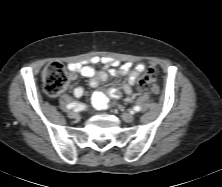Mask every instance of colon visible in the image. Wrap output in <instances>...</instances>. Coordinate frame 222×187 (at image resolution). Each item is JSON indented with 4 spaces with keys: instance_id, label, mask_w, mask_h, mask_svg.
Instances as JSON below:
<instances>
[{
    "instance_id": "colon-1",
    "label": "colon",
    "mask_w": 222,
    "mask_h": 187,
    "mask_svg": "<svg viewBox=\"0 0 222 187\" xmlns=\"http://www.w3.org/2000/svg\"><path fill=\"white\" fill-rule=\"evenodd\" d=\"M154 67L150 66L144 70L139 79V88L149 92H157L158 87L154 82ZM43 84L46 94L56 97L64 92L69 86V78L65 67L57 62L48 64L43 71Z\"/></svg>"
}]
</instances>
